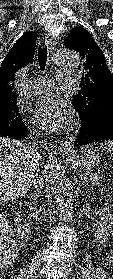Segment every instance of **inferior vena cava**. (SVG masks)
Returning a JSON list of instances; mask_svg holds the SVG:
<instances>
[{
  "mask_svg": "<svg viewBox=\"0 0 113 279\" xmlns=\"http://www.w3.org/2000/svg\"><path fill=\"white\" fill-rule=\"evenodd\" d=\"M32 183H33V185H41V186H43V180L39 179L38 174H36V176H35L34 180L32 181Z\"/></svg>",
  "mask_w": 113,
  "mask_h": 279,
  "instance_id": "obj_1",
  "label": "inferior vena cava"
}]
</instances>
